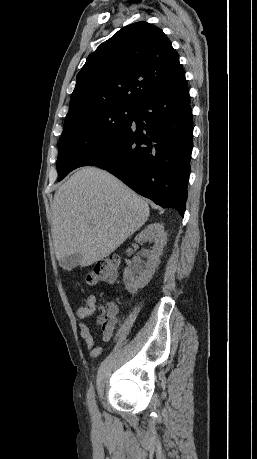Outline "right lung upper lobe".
<instances>
[{
  "mask_svg": "<svg viewBox=\"0 0 257 459\" xmlns=\"http://www.w3.org/2000/svg\"><path fill=\"white\" fill-rule=\"evenodd\" d=\"M184 74L163 31L130 24L90 54L76 78L64 127L111 107H136Z\"/></svg>",
  "mask_w": 257,
  "mask_h": 459,
  "instance_id": "cb5924a9",
  "label": "right lung upper lobe"
}]
</instances>
